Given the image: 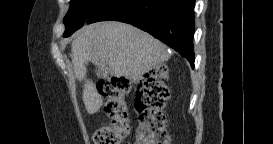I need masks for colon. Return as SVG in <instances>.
Masks as SVG:
<instances>
[{"label":"colon","mask_w":273,"mask_h":144,"mask_svg":"<svg viewBox=\"0 0 273 144\" xmlns=\"http://www.w3.org/2000/svg\"><path fill=\"white\" fill-rule=\"evenodd\" d=\"M168 71L165 65L151 69L138 82L136 110L139 124L136 144H169L164 114L165 102L170 92L166 85ZM98 91L106 98L104 111L110 124L98 127L94 132L95 144H119L129 132L128 111L124 101L131 82L124 77H112L98 83Z\"/></svg>","instance_id":"obj_1"}]
</instances>
